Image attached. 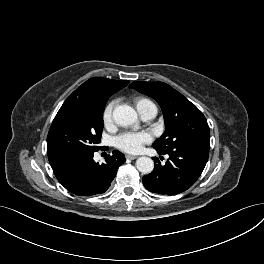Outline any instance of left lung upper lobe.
I'll list each match as a JSON object with an SVG mask.
<instances>
[{
    "label": "left lung upper lobe",
    "instance_id": "1",
    "mask_svg": "<svg viewBox=\"0 0 264 264\" xmlns=\"http://www.w3.org/2000/svg\"><path fill=\"white\" fill-rule=\"evenodd\" d=\"M155 99L160 105L166 126L165 133L154 143L160 151H169L180 144L210 146V131L202 112L181 93L164 82H133L129 85Z\"/></svg>",
    "mask_w": 264,
    "mask_h": 264
}]
</instances>
